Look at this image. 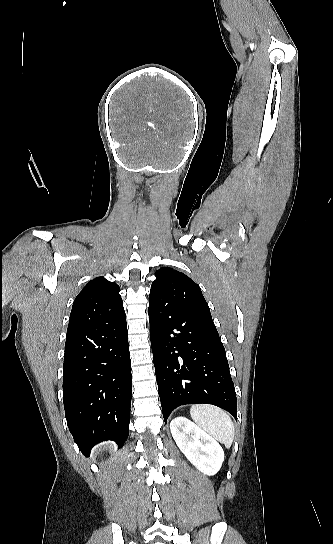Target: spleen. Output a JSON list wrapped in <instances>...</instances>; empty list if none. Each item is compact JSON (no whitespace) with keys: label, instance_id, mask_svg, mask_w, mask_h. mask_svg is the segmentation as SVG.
Here are the masks:
<instances>
[{"label":"spleen","instance_id":"obj_1","mask_svg":"<svg viewBox=\"0 0 333 544\" xmlns=\"http://www.w3.org/2000/svg\"><path fill=\"white\" fill-rule=\"evenodd\" d=\"M193 421L229 448L235 429L230 416L222 409L210 404H197L190 408Z\"/></svg>","mask_w":333,"mask_h":544}]
</instances>
